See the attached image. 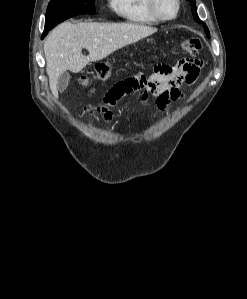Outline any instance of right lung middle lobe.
Returning <instances> with one entry per match:
<instances>
[{"label":"right lung middle lobe","instance_id":"1","mask_svg":"<svg viewBox=\"0 0 247 299\" xmlns=\"http://www.w3.org/2000/svg\"><path fill=\"white\" fill-rule=\"evenodd\" d=\"M95 0H51L46 13L44 37L60 22L80 14H94Z\"/></svg>","mask_w":247,"mask_h":299}]
</instances>
